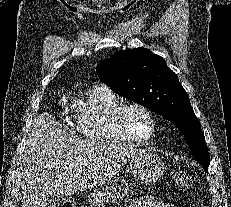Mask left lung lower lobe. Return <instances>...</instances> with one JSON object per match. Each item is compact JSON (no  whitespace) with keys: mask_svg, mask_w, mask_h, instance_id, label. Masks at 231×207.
I'll return each instance as SVG.
<instances>
[{"mask_svg":"<svg viewBox=\"0 0 231 207\" xmlns=\"http://www.w3.org/2000/svg\"><path fill=\"white\" fill-rule=\"evenodd\" d=\"M206 172H208V169L207 168H203Z\"/></svg>","mask_w":231,"mask_h":207,"instance_id":"1","label":"left lung lower lobe"}]
</instances>
